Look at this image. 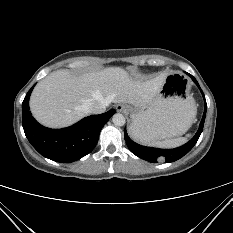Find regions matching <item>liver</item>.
<instances>
[{"label":"liver","instance_id":"liver-1","mask_svg":"<svg viewBox=\"0 0 233 233\" xmlns=\"http://www.w3.org/2000/svg\"><path fill=\"white\" fill-rule=\"evenodd\" d=\"M168 73L145 79L131 76L120 67L72 75L57 70L41 80L30 97V109L41 124L51 128L70 126L89 114L93 102L149 104L164 84Z\"/></svg>","mask_w":233,"mask_h":233}]
</instances>
